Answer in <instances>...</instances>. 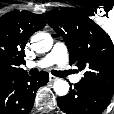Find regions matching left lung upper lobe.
Instances as JSON below:
<instances>
[{"instance_id":"5c2ea615","label":"left lung upper lobe","mask_w":114,"mask_h":114,"mask_svg":"<svg viewBox=\"0 0 114 114\" xmlns=\"http://www.w3.org/2000/svg\"><path fill=\"white\" fill-rule=\"evenodd\" d=\"M68 47L69 63L84 70L81 81L114 89V46L108 35L86 14L71 8L44 14Z\"/></svg>"}]
</instances>
